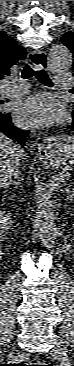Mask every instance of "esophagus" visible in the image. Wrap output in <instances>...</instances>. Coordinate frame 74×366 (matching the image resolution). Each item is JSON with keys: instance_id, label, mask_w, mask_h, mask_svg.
Instances as JSON below:
<instances>
[{"instance_id": "esophagus-1", "label": "esophagus", "mask_w": 74, "mask_h": 366, "mask_svg": "<svg viewBox=\"0 0 74 366\" xmlns=\"http://www.w3.org/2000/svg\"><path fill=\"white\" fill-rule=\"evenodd\" d=\"M30 62L33 65V67L37 70L41 69H47L48 67V57L45 52L39 50V51H32L30 53ZM39 150L42 153H46L48 150V146L46 142H42L38 145Z\"/></svg>"}]
</instances>
